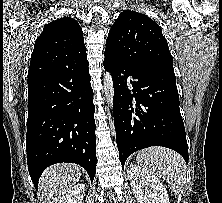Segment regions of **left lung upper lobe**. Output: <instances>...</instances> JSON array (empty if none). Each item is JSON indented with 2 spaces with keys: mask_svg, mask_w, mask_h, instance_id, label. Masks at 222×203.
Returning <instances> with one entry per match:
<instances>
[{
  "mask_svg": "<svg viewBox=\"0 0 222 203\" xmlns=\"http://www.w3.org/2000/svg\"><path fill=\"white\" fill-rule=\"evenodd\" d=\"M105 52L132 65L156 66L174 71L173 58L161 28L138 12H122L112 25Z\"/></svg>",
  "mask_w": 222,
  "mask_h": 203,
  "instance_id": "1",
  "label": "left lung upper lobe"
}]
</instances>
